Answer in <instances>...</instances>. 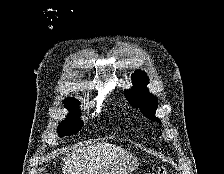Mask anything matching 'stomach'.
<instances>
[{"instance_id":"0dacf381","label":"stomach","mask_w":224,"mask_h":174,"mask_svg":"<svg viewBox=\"0 0 224 174\" xmlns=\"http://www.w3.org/2000/svg\"><path fill=\"white\" fill-rule=\"evenodd\" d=\"M138 166V159L133 156L114 162L102 170L96 171L93 174H129Z\"/></svg>"}]
</instances>
